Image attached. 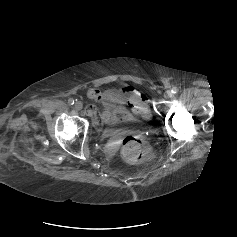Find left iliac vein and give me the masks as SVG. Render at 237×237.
<instances>
[{
    "mask_svg": "<svg viewBox=\"0 0 237 237\" xmlns=\"http://www.w3.org/2000/svg\"><path fill=\"white\" fill-rule=\"evenodd\" d=\"M172 92L170 91V90H168V91H166L165 92V97H168V98H170V97H172Z\"/></svg>",
    "mask_w": 237,
    "mask_h": 237,
    "instance_id": "left-iliac-vein-1",
    "label": "left iliac vein"
}]
</instances>
